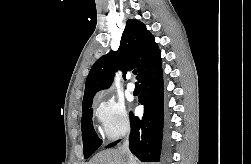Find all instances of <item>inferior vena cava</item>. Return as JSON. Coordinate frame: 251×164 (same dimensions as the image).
<instances>
[{
	"label": "inferior vena cava",
	"instance_id": "obj_1",
	"mask_svg": "<svg viewBox=\"0 0 251 164\" xmlns=\"http://www.w3.org/2000/svg\"><path fill=\"white\" fill-rule=\"evenodd\" d=\"M128 146H129V141H128V138H127L126 141L124 142L123 146H122V149H124L125 151H128ZM130 161H131V164H133L132 156H130Z\"/></svg>",
	"mask_w": 251,
	"mask_h": 164
}]
</instances>
